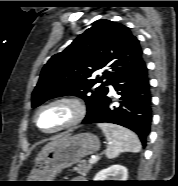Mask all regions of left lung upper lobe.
<instances>
[{
    "label": "left lung upper lobe",
    "mask_w": 178,
    "mask_h": 186,
    "mask_svg": "<svg viewBox=\"0 0 178 186\" xmlns=\"http://www.w3.org/2000/svg\"><path fill=\"white\" fill-rule=\"evenodd\" d=\"M142 59L139 41L127 27L105 19L95 21L45 64L32 93V107L51 98L73 95L84 99L90 112L102 101L108 90L105 86ZM97 70L103 71L102 76L91 79ZM103 79H107L105 83Z\"/></svg>",
    "instance_id": "5c2ea615"
}]
</instances>
